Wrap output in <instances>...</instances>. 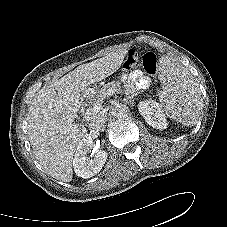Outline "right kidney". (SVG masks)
I'll use <instances>...</instances> for the list:
<instances>
[{"label": "right kidney", "mask_w": 227, "mask_h": 227, "mask_svg": "<svg viewBox=\"0 0 227 227\" xmlns=\"http://www.w3.org/2000/svg\"><path fill=\"white\" fill-rule=\"evenodd\" d=\"M95 146L90 135L84 137L78 144L74 158L73 167L77 176L84 179L93 177L99 173L107 160V152L99 149H94L93 159L87 157L91 149Z\"/></svg>", "instance_id": "ca27d5eb"}]
</instances>
